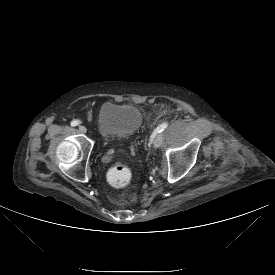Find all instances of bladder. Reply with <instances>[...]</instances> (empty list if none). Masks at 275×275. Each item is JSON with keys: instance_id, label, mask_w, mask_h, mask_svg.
Returning a JSON list of instances; mask_svg holds the SVG:
<instances>
[{"instance_id": "1", "label": "bladder", "mask_w": 275, "mask_h": 275, "mask_svg": "<svg viewBox=\"0 0 275 275\" xmlns=\"http://www.w3.org/2000/svg\"><path fill=\"white\" fill-rule=\"evenodd\" d=\"M142 123V112L134 104L106 102L98 112L97 125L105 140L128 139L137 133Z\"/></svg>"}]
</instances>
